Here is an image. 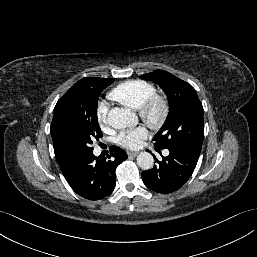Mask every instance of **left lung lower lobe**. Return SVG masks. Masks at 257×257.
<instances>
[{"instance_id": "obj_1", "label": "left lung lower lobe", "mask_w": 257, "mask_h": 257, "mask_svg": "<svg viewBox=\"0 0 257 257\" xmlns=\"http://www.w3.org/2000/svg\"><path fill=\"white\" fill-rule=\"evenodd\" d=\"M169 155L157 161L151 170L142 172L144 184L151 190L168 194L180 189L192 175L199 155L182 148H168Z\"/></svg>"}]
</instances>
